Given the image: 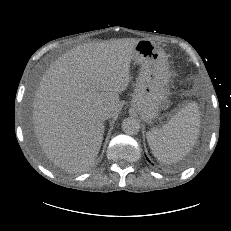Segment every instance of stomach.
Returning a JSON list of instances; mask_svg holds the SVG:
<instances>
[{
	"instance_id": "1",
	"label": "stomach",
	"mask_w": 231,
	"mask_h": 231,
	"mask_svg": "<svg viewBox=\"0 0 231 231\" xmlns=\"http://www.w3.org/2000/svg\"><path fill=\"white\" fill-rule=\"evenodd\" d=\"M132 60L140 64L131 107L141 118L152 124L168 96L170 72L164 50L154 42L139 39Z\"/></svg>"
}]
</instances>
